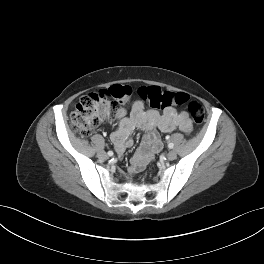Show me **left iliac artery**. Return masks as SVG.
<instances>
[{
  "label": "left iliac artery",
  "mask_w": 264,
  "mask_h": 264,
  "mask_svg": "<svg viewBox=\"0 0 264 264\" xmlns=\"http://www.w3.org/2000/svg\"><path fill=\"white\" fill-rule=\"evenodd\" d=\"M170 138V136H166V139H169ZM168 147L170 148V149H172L173 147H174V144L173 143H169L168 144Z\"/></svg>",
  "instance_id": "1"
}]
</instances>
